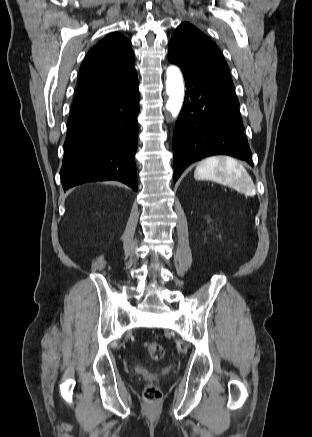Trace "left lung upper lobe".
Masks as SVG:
<instances>
[{"mask_svg":"<svg viewBox=\"0 0 312 437\" xmlns=\"http://www.w3.org/2000/svg\"><path fill=\"white\" fill-rule=\"evenodd\" d=\"M168 58L183 71L213 85L237 100L227 64L217 45L193 25L184 22L169 42Z\"/></svg>","mask_w":312,"mask_h":437,"instance_id":"5c2ea615","label":"left lung upper lobe"}]
</instances>
